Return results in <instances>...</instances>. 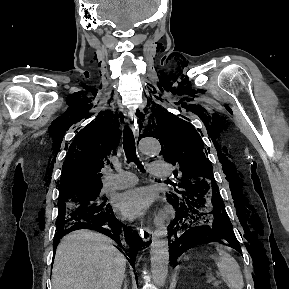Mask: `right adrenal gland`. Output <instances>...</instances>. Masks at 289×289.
<instances>
[{"label": "right adrenal gland", "instance_id": "1", "mask_svg": "<svg viewBox=\"0 0 289 289\" xmlns=\"http://www.w3.org/2000/svg\"><path fill=\"white\" fill-rule=\"evenodd\" d=\"M123 289H127V278L126 275L124 276V287Z\"/></svg>", "mask_w": 289, "mask_h": 289}]
</instances>
